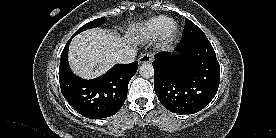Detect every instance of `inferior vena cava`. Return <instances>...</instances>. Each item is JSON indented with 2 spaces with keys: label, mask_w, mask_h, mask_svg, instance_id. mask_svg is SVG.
<instances>
[{
  "label": "inferior vena cava",
  "mask_w": 276,
  "mask_h": 138,
  "mask_svg": "<svg viewBox=\"0 0 276 138\" xmlns=\"http://www.w3.org/2000/svg\"><path fill=\"white\" fill-rule=\"evenodd\" d=\"M136 53V49H130L126 47L116 52L115 60L118 63L129 64L135 60Z\"/></svg>",
  "instance_id": "obj_1"
}]
</instances>
